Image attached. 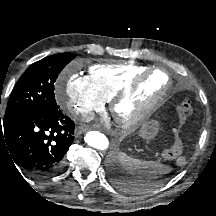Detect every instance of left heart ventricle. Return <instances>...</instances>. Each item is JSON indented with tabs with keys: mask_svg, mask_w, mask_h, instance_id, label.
Returning <instances> with one entry per match:
<instances>
[{
	"mask_svg": "<svg viewBox=\"0 0 216 216\" xmlns=\"http://www.w3.org/2000/svg\"><path fill=\"white\" fill-rule=\"evenodd\" d=\"M166 76L161 73H156L151 80L143 87L140 97L134 101L120 107V113L124 116L133 115L140 102L145 101L159 92L166 84Z\"/></svg>",
	"mask_w": 216,
	"mask_h": 216,
	"instance_id": "b2bd125f",
	"label": "left heart ventricle"
}]
</instances>
